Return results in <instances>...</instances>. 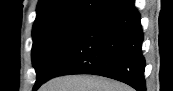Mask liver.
Returning <instances> with one entry per match:
<instances>
[{"instance_id":"1","label":"liver","mask_w":173,"mask_h":91,"mask_svg":"<svg viewBox=\"0 0 173 91\" xmlns=\"http://www.w3.org/2000/svg\"><path fill=\"white\" fill-rule=\"evenodd\" d=\"M39 91H133V89L102 76L67 75L49 80Z\"/></svg>"}]
</instances>
